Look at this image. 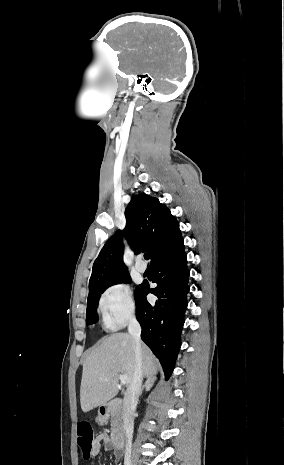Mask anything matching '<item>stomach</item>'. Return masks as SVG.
I'll return each instance as SVG.
<instances>
[{
	"label": "stomach",
	"instance_id": "obj_1",
	"mask_svg": "<svg viewBox=\"0 0 284 465\" xmlns=\"http://www.w3.org/2000/svg\"><path fill=\"white\" fill-rule=\"evenodd\" d=\"M96 423H99V425H104V423H106V417H101V415H98Z\"/></svg>",
	"mask_w": 284,
	"mask_h": 465
}]
</instances>
